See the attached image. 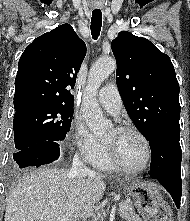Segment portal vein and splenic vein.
<instances>
[{
  "label": "portal vein and splenic vein",
  "mask_w": 190,
  "mask_h": 221,
  "mask_svg": "<svg viewBox=\"0 0 190 221\" xmlns=\"http://www.w3.org/2000/svg\"><path fill=\"white\" fill-rule=\"evenodd\" d=\"M119 207L120 208L124 207V204L123 203H119ZM103 215H105L104 211H103ZM58 221H68V218L67 217H62V218H59Z\"/></svg>",
  "instance_id": "18ae733b"
}]
</instances>
